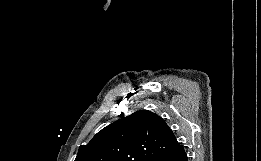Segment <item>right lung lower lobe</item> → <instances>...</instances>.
<instances>
[{
  "label": "right lung lower lobe",
  "instance_id": "1",
  "mask_svg": "<svg viewBox=\"0 0 261 161\" xmlns=\"http://www.w3.org/2000/svg\"><path fill=\"white\" fill-rule=\"evenodd\" d=\"M153 161H188V160H187L186 152L184 151V149L182 147L178 151H175V152L165 155V156L158 157Z\"/></svg>",
  "mask_w": 261,
  "mask_h": 161
}]
</instances>
